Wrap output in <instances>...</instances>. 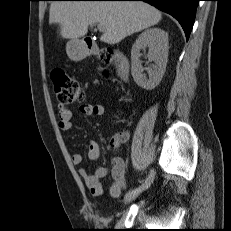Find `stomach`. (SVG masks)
Returning a JSON list of instances; mask_svg holds the SVG:
<instances>
[{
	"mask_svg": "<svg viewBox=\"0 0 231 231\" xmlns=\"http://www.w3.org/2000/svg\"><path fill=\"white\" fill-rule=\"evenodd\" d=\"M66 52L70 59L78 61L85 56L86 49L81 41L71 40L67 43Z\"/></svg>",
	"mask_w": 231,
	"mask_h": 231,
	"instance_id": "1",
	"label": "stomach"
}]
</instances>
